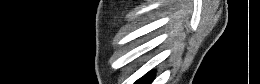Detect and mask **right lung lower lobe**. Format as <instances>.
<instances>
[{
    "label": "right lung lower lobe",
    "instance_id": "98d812e1",
    "mask_svg": "<svg viewBox=\"0 0 260 84\" xmlns=\"http://www.w3.org/2000/svg\"><path fill=\"white\" fill-rule=\"evenodd\" d=\"M154 77V73H149L146 76H144L143 78H141L140 80H138L136 82V84H150L152 79Z\"/></svg>",
    "mask_w": 260,
    "mask_h": 84
}]
</instances>
